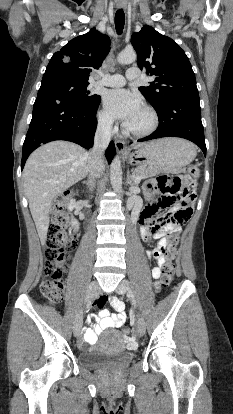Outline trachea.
I'll use <instances>...</instances> for the list:
<instances>
[{
	"mask_svg": "<svg viewBox=\"0 0 233 414\" xmlns=\"http://www.w3.org/2000/svg\"><path fill=\"white\" fill-rule=\"evenodd\" d=\"M124 24H125V14H124L123 9H119L117 10L115 14V26H116V31L119 35L123 31Z\"/></svg>",
	"mask_w": 233,
	"mask_h": 414,
	"instance_id": "1",
	"label": "trachea"
}]
</instances>
